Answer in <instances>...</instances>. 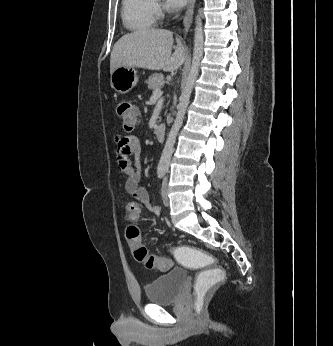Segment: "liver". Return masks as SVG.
Wrapping results in <instances>:
<instances>
[{"label": "liver", "mask_w": 333, "mask_h": 346, "mask_svg": "<svg viewBox=\"0 0 333 346\" xmlns=\"http://www.w3.org/2000/svg\"><path fill=\"white\" fill-rule=\"evenodd\" d=\"M173 33L163 29H143L122 36L110 57V73L121 66L148 70L175 71L185 60V49L179 38L174 53Z\"/></svg>", "instance_id": "1"}]
</instances>
